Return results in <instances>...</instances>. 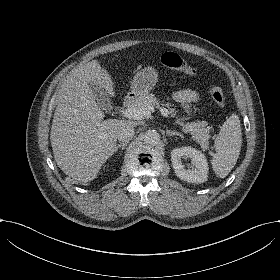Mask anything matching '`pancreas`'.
Instances as JSON below:
<instances>
[{"mask_svg": "<svg viewBox=\"0 0 280 280\" xmlns=\"http://www.w3.org/2000/svg\"><path fill=\"white\" fill-rule=\"evenodd\" d=\"M159 99L153 94H147L144 97H139L132 102L134 108H144L148 105L154 106L158 104ZM182 130L185 133H191L194 140L200 144V147L207 151L209 149L211 135L210 132L213 130V126H208L207 122L201 121L198 123H190L182 126Z\"/></svg>", "mask_w": 280, "mask_h": 280, "instance_id": "1", "label": "pancreas"}]
</instances>
